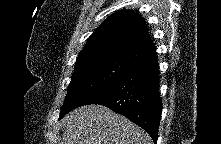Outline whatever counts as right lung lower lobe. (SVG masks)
Returning a JSON list of instances; mask_svg holds the SVG:
<instances>
[{
  "label": "right lung lower lobe",
  "mask_w": 221,
  "mask_h": 144,
  "mask_svg": "<svg viewBox=\"0 0 221 144\" xmlns=\"http://www.w3.org/2000/svg\"><path fill=\"white\" fill-rule=\"evenodd\" d=\"M89 104L104 105L124 115L147 131L156 142L162 114L156 51L145 56L133 69L84 105Z\"/></svg>",
  "instance_id": "1"
}]
</instances>
